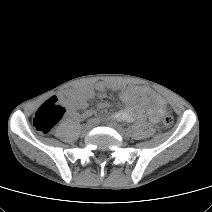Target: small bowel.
Instances as JSON below:
<instances>
[{
    "label": "small bowel",
    "instance_id": "obj_1",
    "mask_svg": "<svg viewBox=\"0 0 212 212\" xmlns=\"http://www.w3.org/2000/svg\"><path fill=\"white\" fill-rule=\"evenodd\" d=\"M108 89L115 92L125 104V108L112 115L115 120L133 122L149 119L153 123H157L165 113L164 100L147 89L123 87L115 83L107 84L100 81L93 85H84L63 93L61 99L67 106L66 118L72 121H80L90 116L92 114L90 110L83 113H80L79 110L85 109L91 99L104 97ZM148 95L155 103L153 107L148 105ZM99 107L106 108L108 104L101 102Z\"/></svg>",
    "mask_w": 212,
    "mask_h": 212
}]
</instances>
